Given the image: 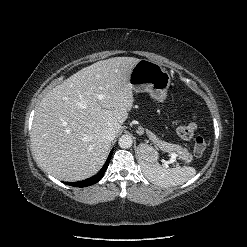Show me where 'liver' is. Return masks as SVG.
Masks as SVG:
<instances>
[{
	"label": "liver",
	"mask_w": 247,
	"mask_h": 247,
	"mask_svg": "<svg viewBox=\"0 0 247 247\" xmlns=\"http://www.w3.org/2000/svg\"><path fill=\"white\" fill-rule=\"evenodd\" d=\"M139 61H98L43 97L31 130L33 153L43 170L59 180L79 181L101 169L111 144L103 131H121L134 102L129 77Z\"/></svg>",
	"instance_id": "obj_1"
}]
</instances>
